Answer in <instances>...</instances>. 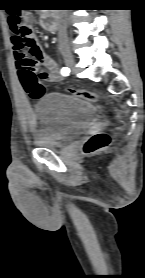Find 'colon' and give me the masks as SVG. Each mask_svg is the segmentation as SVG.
Here are the masks:
<instances>
[{
  "mask_svg": "<svg viewBox=\"0 0 145 278\" xmlns=\"http://www.w3.org/2000/svg\"><path fill=\"white\" fill-rule=\"evenodd\" d=\"M8 23L10 30L13 32L15 36L22 40L23 46L28 44V41L31 37V30L23 25L21 17L18 14H11L8 18ZM37 78L34 79L36 81ZM28 92H31L32 89L28 88ZM73 95L84 98L89 101L97 100L98 96L96 93L91 91H78L71 90ZM109 143V136L105 133H98L90 137L84 145V153L85 154H93L103 148H105Z\"/></svg>",
  "mask_w": 145,
  "mask_h": 278,
  "instance_id": "colon-1",
  "label": "colon"
}]
</instances>
